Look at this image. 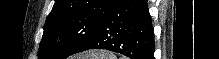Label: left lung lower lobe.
Returning a JSON list of instances; mask_svg holds the SVG:
<instances>
[{
	"label": "left lung lower lobe",
	"mask_w": 219,
	"mask_h": 59,
	"mask_svg": "<svg viewBox=\"0 0 219 59\" xmlns=\"http://www.w3.org/2000/svg\"><path fill=\"white\" fill-rule=\"evenodd\" d=\"M106 49L130 59H154V32L146 0H113L93 37L75 53Z\"/></svg>",
	"instance_id": "left-lung-lower-lobe-1"
}]
</instances>
